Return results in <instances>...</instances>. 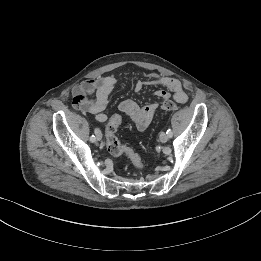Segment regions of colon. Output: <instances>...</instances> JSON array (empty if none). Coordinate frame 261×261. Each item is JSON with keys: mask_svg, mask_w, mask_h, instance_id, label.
I'll use <instances>...</instances> for the list:
<instances>
[{"mask_svg": "<svg viewBox=\"0 0 261 261\" xmlns=\"http://www.w3.org/2000/svg\"><path fill=\"white\" fill-rule=\"evenodd\" d=\"M160 109L172 112L176 111L178 106L175 102L167 100L161 104ZM121 122L122 118L117 114L113 115L108 121L105 128L107 150L114 156H126L135 168L141 169L143 167L141 157L133 149L123 145L116 135Z\"/></svg>", "mask_w": 261, "mask_h": 261, "instance_id": "5ec220e1", "label": "colon"}]
</instances>
